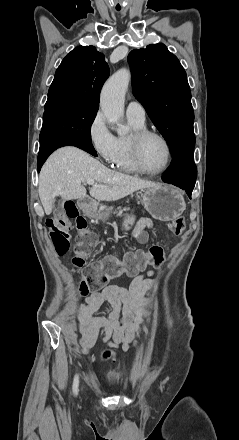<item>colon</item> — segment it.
<instances>
[{
    "label": "colon",
    "instance_id": "obj_1",
    "mask_svg": "<svg viewBox=\"0 0 239 440\" xmlns=\"http://www.w3.org/2000/svg\"><path fill=\"white\" fill-rule=\"evenodd\" d=\"M73 219L76 222L78 235L76 238V249L71 263L73 268L84 267L86 260L92 254L96 236L88 229L86 220L81 217L73 201L65 202L62 214L48 219L46 226L50 239L59 255L65 254L70 245V233L67 220ZM169 229L173 235H180L185 229V220L182 217L175 218ZM165 250L160 246H152L148 251H136L129 254L124 260L119 261L109 257L99 262L88 265L83 271V280L80 291L88 293L92 288L105 285L109 280L117 278L122 274L134 275L145 269L148 265L159 266L164 261ZM110 353L104 352L103 358L108 359Z\"/></svg>",
    "mask_w": 239,
    "mask_h": 440
}]
</instances>
